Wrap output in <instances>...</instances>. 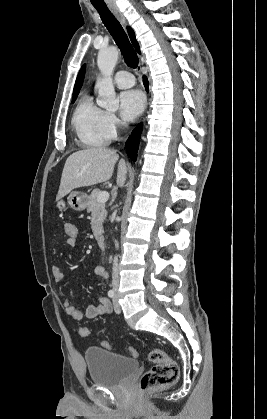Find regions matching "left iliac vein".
<instances>
[{
  "instance_id": "1",
  "label": "left iliac vein",
  "mask_w": 267,
  "mask_h": 419,
  "mask_svg": "<svg viewBox=\"0 0 267 419\" xmlns=\"http://www.w3.org/2000/svg\"><path fill=\"white\" fill-rule=\"evenodd\" d=\"M113 304H114V311L119 314L121 312V307H120V304L118 302V294H117V292H116V294H115V296L113 298Z\"/></svg>"
}]
</instances>
